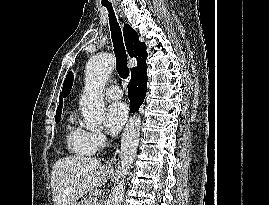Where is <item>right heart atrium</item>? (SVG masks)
Returning <instances> with one entry per match:
<instances>
[{"label": "right heart atrium", "instance_id": "right-heart-atrium-1", "mask_svg": "<svg viewBox=\"0 0 269 205\" xmlns=\"http://www.w3.org/2000/svg\"><path fill=\"white\" fill-rule=\"evenodd\" d=\"M89 139L95 151L102 149L107 143V137L102 132L89 133Z\"/></svg>", "mask_w": 269, "mask_h": 205}]
</instances>
